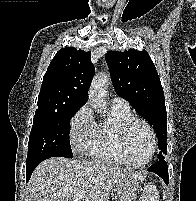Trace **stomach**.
Masks as SVG:
<instances>
[{
  "mask_svg": "<svg viewBox=\"0 0 196 201\" xmlns=\"http://www.w3.org/2000/svg\"><path fill=\"white\" fill-rule=\"evenodd\" d=\"M139 187L138 180L126 178L116 184L114 191L119 201H135Z\"/></svg>",
  "mask_w": 196,
  "mask_h": 201,
  "instance_id": "obj_1",
  "label": "stomach"
}]
</instances>
